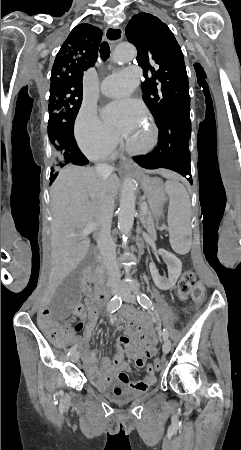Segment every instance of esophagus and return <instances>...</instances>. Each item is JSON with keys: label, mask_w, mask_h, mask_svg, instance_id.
I'll return each mask as SVG.
<instances>
[{"label": "esophagus", "mask_w": 241, "mask_h": 450, "mask_svg": "<svg viewBox=\"0 0 241 450\" xmlns=\"http://www.w3.org/2000/svg\"><path fill=\"white\" fill-rule=\"evenodd\" d=\"M105 40L114 47L118 42H120L123 38V30L121 27H112L108 26L104 31ZM134 162L132 160H126L120 164L121 169L131 168L133 167Z\"/></svg>", "instance_id": "obj_1"}]
</instances>
